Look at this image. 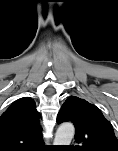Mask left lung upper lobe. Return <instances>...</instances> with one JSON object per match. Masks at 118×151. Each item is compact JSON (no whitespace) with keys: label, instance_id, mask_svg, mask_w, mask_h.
I'll return each mask as SVG.
<instances>
[{"label":"left lung upper lobe","instance_id":"1","mask_svg":"<svg viewBox=\"0 0 118 151\" xmlns=\"http://www.w3.org/2000/svg\"><path fill=\"white\" fill-rule=\"evenodd\" d=\"M74 124L78 151H118V140L111 123L93 104L77 96H70L62 105L57 123Z\"/></svg>","mask_w":118,"mask_h":151}]
</instances>
